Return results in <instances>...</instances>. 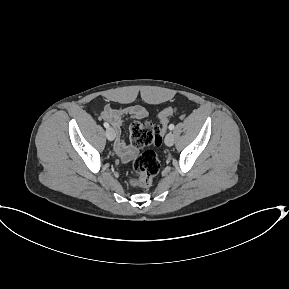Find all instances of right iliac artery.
Segmentation results:
<instances>
[{
    "label": "right iliac artery",
    "mask_w": 289,
    "mask_h": 289,
    "mask_svg": "<svg viewBox=\"0 0 289 289\" xmlns=\"http://www.w3.org/2000/svg\"><path fill=\"white\" fill-rule=\"evenodd\" d=\"M103 125L105 128H109V124L107 122H105Z\"/></svg>",
    "instance_id": "obj_1"
}]
</instances>
